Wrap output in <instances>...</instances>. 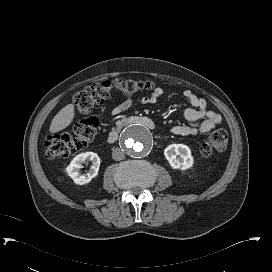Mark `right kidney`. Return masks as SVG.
I'll return each mask as SVG.
<instances>
[{"label":"right kidney","instance_id":"ca27d5eb","mask_svg":"<svg viewBox=\"0 0 272 272\" xmlns=\"http://www.w3.org/2000/svg\"><path fill=\"white\" fill-rule=\"evenodd\" d=\"M90 160L92 165L87 174H81L79 169L82 168V164ZM100 166V158L97 153L85 152L77 155L73 158L70 164L66 168V172L73 179V181L78 185H84L89 183L92 178L98 174Z\"/></svg>","mask_w":272,"mask_h":272}]
</instances>
